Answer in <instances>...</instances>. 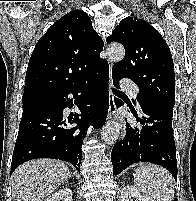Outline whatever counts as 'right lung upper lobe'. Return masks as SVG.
Instances as JSON below:
<instances>
[{
	"label": "right lung upper lobe",
	"mask_w": 196,
	"mask_h": 201,
	"mask_svg": "<svg viewBox=\"0 0 196 201\" xmlns=\"http://www.w3.org/2000/svg\"><path fill=\"white\" fill-rule=\"evenodd\" d=\"M103 40L84 11L57 20L35 45L23 97L44 96L82 81L102 63Z\"/></svg>",
	"instance_id": "1"
}]
</instances>
